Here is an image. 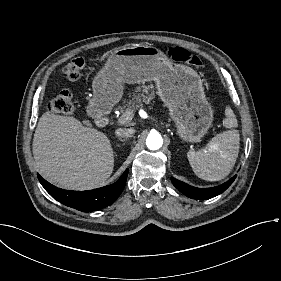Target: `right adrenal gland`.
Listing matches in <instances>:
<instances>
[{"label": "right adrenal gland", "mask_w": 281, "mask_h": 281, "mask_svg": "<svg viewBox=\"0 0 281 281\" xmlns=\"http://www.w3.org/2000/svg\"><path fill=\"white\" fill-rule=\"evenodd\" d=\"M119 140H120L121 142H125V139H121V138H119Z\"/></svg>", "instance_id": "obj_1"}]
</instances>
